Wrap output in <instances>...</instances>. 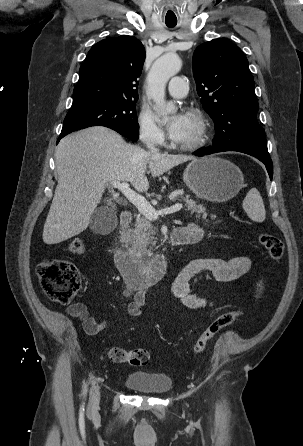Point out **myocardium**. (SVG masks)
I'll return each mask as SVG.
<instances>
[{
  "label": "myocardium",
  "mask_w": 303,
  "mask_h": 446,
  "mask_svg": "<svg viewBox=\"0 0 303 446\" xmlns=\"http://www.w3.org/2000/svg\"><path fill=\"white\" fill-rule=\"evenodd\" d=\"M187 114L192 115L197 120L198 132L192 141L176 143V147L181 150L192 151L200 148L205 143L208 136V121L204 112L199 108H189Z\"/></svg>",
  "instance_id": "f54148a6"
}]
</instances>
